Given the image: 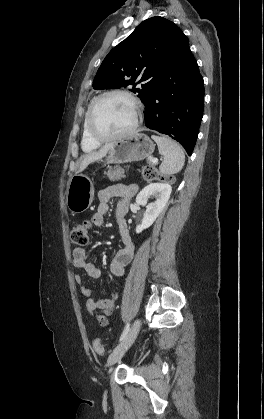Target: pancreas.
Segmentation results:
<instances>
[{
  "label": "pancreas",
  "instance_id": "obj_1",
  "mask_svg": "<svg viewBox=\"0 0 264 419\" xmlns=\"http://www.w3.org/2000/svg\"><path fill=\"white\" fill-rule=\"evenodd\" d=\"M150 161L151 160H149V162ZM124 173H125V170L123 168H121L120 166H116L114 168H110L104 174L107 175V177L109 178V180H111V181H118L121 178H125Z\"/></svg>",
  "mask_w": 264,
  "mask_h": 419
}]
</instances>
